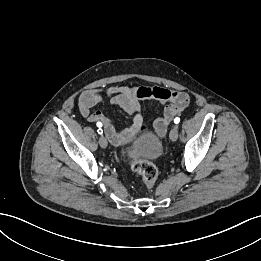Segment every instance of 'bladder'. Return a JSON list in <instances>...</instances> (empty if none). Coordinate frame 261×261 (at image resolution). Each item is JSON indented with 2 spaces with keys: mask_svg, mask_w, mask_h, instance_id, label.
I'll use <instances>...</instances> for the list:
<instances>
[{
  "mask_svg": "<svg viewBox=\"0 0 261 261\" xmlns=\"http://www.w3.org/2000/svg\"><path fill=\"white\" fill-rule=\"evenodd\" d=\"M163 150V144L156 136L145 133L123 150V156L132 161L154 160Z\"/></svg>",
  "mask_w": 261,
  "mask_h": 261,
  "instance_id": "1",
  "label": "bladder"
}]
</instances>
